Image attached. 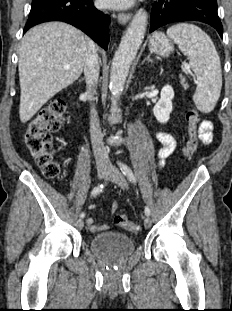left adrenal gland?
Returning a JSON list of instances; mask_svg holds the SVG:
<instances>
[{
	"instance_id": "obj_1",
	"label": "left adrenal gland",
	"mask_w": 232,
	"mask_h": 311,
	"mask_svg": "<svg viewBox=\"0 0 232 311\" xmlns=\"http://www.w3.org/2000/svg\"><path fill=\"white\" fill-rule=\"evenodd\" d=\"M146 61H148V62H152V61H153V60L151 59L150 55H148V56L142 61V64H143L144 62H146Z\"/></svg>"
}]
</instances>
